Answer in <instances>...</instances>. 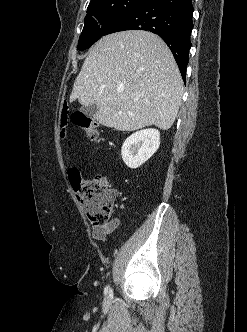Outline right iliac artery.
Wrapping results in <instances>:
<instances>
[{"instance_id":"1","label":"right iliac artery","mask_w":247,"mask_h":332,"mask_svg":"<svg viewBox=\"0 0 247 332\" xmlns=\"http://www.w3.org/2000/svg\"><path fill=\"white\" fill-rule=\"evenodd\" d=\"M108 291H110V287H109V286H107V287L105 288V293L107 294Z\"/></svg>"}]
</instances>
